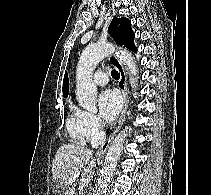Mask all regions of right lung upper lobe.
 Here are the masks:
<instances>
[{"instance_id": "obj_1", "label": "right lung upper lobe", "mask_w": 211, "mask_h": 195, "mask_svg": "<svg viewBox=\"0 0 211 195\" xmlns=\"http://www.w3.org/2000/svg\"><path fill=\"white\" fill-rule=\"evenodd\" d=\"M62 90H63V96L67 97L68 93H69V80H68V74L67 73H65V76H64Z\"/></svg>"}]
</instances>
